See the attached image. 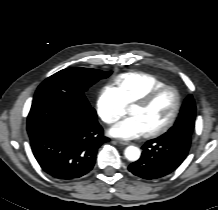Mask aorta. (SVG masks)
<instances>
[{
  "instance_id": "762f6f07",
  "label": "aorta",
  "mask_w": 218,
  "mask_h": 210,
  "mask_svg": "<svg viewBox=\"0 0 218 210\" xmlns=\"http://www.w3.org/2000/svg\"><path fill=\"white\" fill-rule=\"evenodd\" d=\"M124 155H125L126 159L134 162L140 158L141 151L138 147L128 146L124 151Z\"/></svg>"
}]
</instances>
